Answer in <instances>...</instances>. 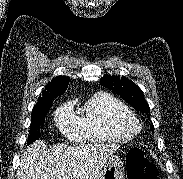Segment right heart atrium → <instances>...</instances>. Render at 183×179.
Instances as JSON below:
<instances>
[{"label":"right heart atrium","mask_w":183,"mask_h":179,"mask_svg":"<svg viewBox=\"0 0 183 179\" xmlns=\"http://www.w3.org/2000/svg\"><path fill=\"white\" fill-rule=\"evenodd\" d=\"M55 120L61 132L68 137L75 138L81 132L79 118L74 114L70 104L58 108Z\"/></svg>","instance_id":"right-heart-atrium-1"}]
</instances>
